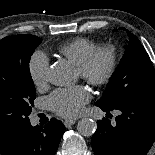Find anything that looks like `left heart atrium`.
<instances>
[{"instance_id":"1","label":"left heart atrium","mask_w":155,"mask_h":155,"mask_svg":"<svg viewBox=\"0 0 155 155\" xmlns=\"http://www.w3.org/2000/svg\"><path fill=\"white\" fill-rule=\"evenodd\" d=\"M90 94L83 86L55 90L47 99L51 109L58 115L74 118L80 115Z\"/></svg>"}]
</instances>
